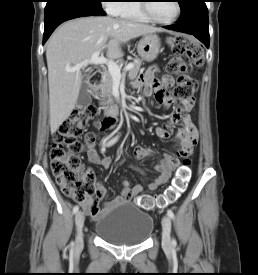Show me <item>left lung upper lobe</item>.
<instances>
[{"label":"left lung upper lobe","mask_w":258,"mask_h":275,"mask_svg":"<svg viewBox=\"0 0 258 275\" xmlns=\"http://www.w3.org/2000/svg\"><path fill=\"white\" fill-rule=\"evenodd\" d=\"M188 2V0H178V3L180 5L181 8L184 7V5Z\"/></svg>","instance_id":"obj_1"}]
</instances>
